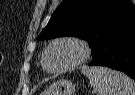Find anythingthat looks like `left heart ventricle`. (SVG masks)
Instances as JSON below:
<instances>
[{"mask_svg": "<svg viewBox=\"0 0 135 95\" xmlns=\"http://www.w3.org/2000/svg\"><path fill=\"white\" fill-rule=\"evenodd\" d=\"M80 55L79 49L69 43L54 46L46 58V66L49 69H59L73 63Z\"/></svg>", "mask_w": 135, "mask_h": 95, "instance_id": "obj_1", "label": "left heart ventricle"}]
</instances>
